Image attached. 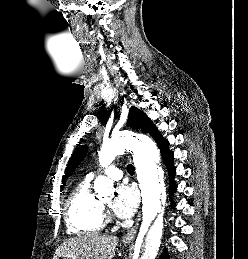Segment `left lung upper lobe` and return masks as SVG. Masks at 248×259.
I'll use <instances>...</instances> for the list:
<instances>
[{
    "label": "left lung upper lobe",
    "mask_w": 248,
    "mask_h": 259,
    "mask_svg": "<svg viewBox=\"0 0 248 259\" xmlns=\"http://www.w3.org/2000/svg\"><path fill=\"white\" fill-rule=\"evenodd\" d=\"M127 125L134 129H141L143 132L150 133L158 146L165 141L157 130V128L148 119L146 114L141 110L132 107L130 109ZM87 148L80 146L72 155L67 167L65 175L63 176V183L65 179L74 171V169L80 164L86 154Z\"/></svg>",
    "instance_id": "5c2ea615"
}]
</instances>
